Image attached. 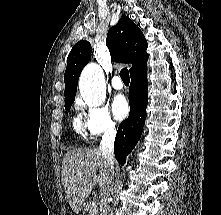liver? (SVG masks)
Instances as JSON below:
<instances>
[{"label": "liver", "instance_id": "liver-1", "mask_svg": "<svg viewBox=\"0 0 221 215\" xmlns=\"http://www.w3.org/2000/svg\"><path fill=\"white\" fill-rule=\"evenodd\" d=\"M109 165L99 148L67 151L62 161L61 179L71 209L78 214L93 187L101 195L109 183Z\"/></svg>", "mask_w": 221, "mask_h": 215}]
</instances>
